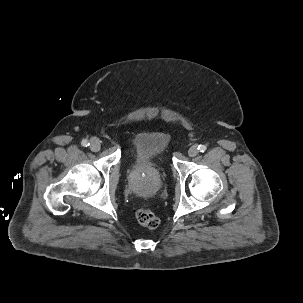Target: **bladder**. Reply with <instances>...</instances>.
I'll list each match as a JSON object with an SVG mask.
<instances>
[{
  "label": "bladder",
  "instance_id": "1",
  "mask_svg": "<svg viewBox=\"0 0 303 303\" xmlns=\"http://www.w3.org/2000/svg\"><path fill=\"white\" fill-rule=\"evenodd\" d=\"M169 134L162 131H140L130 141L128 153L135 169L158 171L170 146Z\"/></svg>",
  "mask_w": 303,
  "mask_h": 303
}]
</instances>
